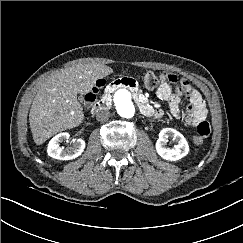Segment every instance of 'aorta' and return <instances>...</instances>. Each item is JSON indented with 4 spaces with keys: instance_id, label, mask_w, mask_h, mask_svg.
<instances>
[{
    "instance_id": "obj_1",
    "label": "aorta",
    "mask_w": 243,
    "mask_h": 243,
    "mask_svg": "<svg viewBox=\"0 0 243 243\" xmlns=\"http://www.w3.org/2000/svg\"><path fill=\"white\" fill-rule=\"evenodd\" d=\"M114 102L121 117L129 119L134 116L135 106L132 94L128 89H118L114 95Z\"/></svg>"
}]
</instances>
